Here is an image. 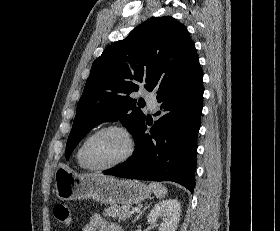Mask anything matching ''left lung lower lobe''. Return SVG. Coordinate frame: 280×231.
I'll return each instance as SVG.
<instances>
[{
	"label": "left lung lower lobe",
	"instance_id": "0a47b994",
	"mask_svg": "<svg viewBox=\"0 0 280 231\" xmlns=\"http://www.w3.org/2000/svg\"><path fill=\"white\" fill-rule=\"evenodd\" d=\"M203 71L199 67L185 80L157 94L159 119L145 134L142 120L133 133L135 151L124 163L103 171L106 175L150 181L177 182L193 192L197 134L203 102Z\"/></svg>",
	"mask_w": 280,
	"mask_h": 231
}]
</instances>
